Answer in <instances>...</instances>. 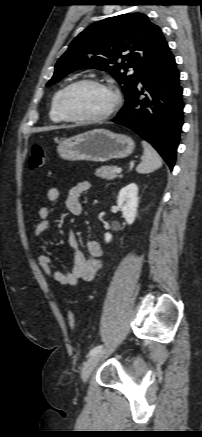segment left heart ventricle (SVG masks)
<instances>
[{
    "label": "left heart ventricle",
    "mask_w": 202,
    "mask_h": 437,
    "mask_svg": "<svg viewBox=\"0 0 202 437\" xmlns=\"http://www.w3.org/2000/svg\"><path fill=\"white\" fill-rule=\"evenodd\" d=\"M112 102L109 91L94 85H81L69 94L66 106L74 115L94 117L105 113Z\"/></svg>",
    "instance_id": "1"
}]
</instances>
